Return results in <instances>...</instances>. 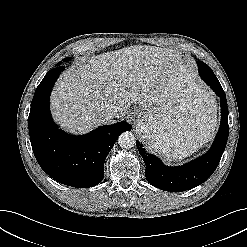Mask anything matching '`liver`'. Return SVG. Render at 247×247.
Wrapping results in <instances>:
<instances>
[{
	"label": "liver",
	"instance_id": "1",
	"mask_svg": "<svg viewBox=\"0 0 247 247\" xmlns=\"http://www.w3.org/2000/svg\"><path fill=\"white\" fill-rule=\"evenodd\" d=\"M177 56L172 49L141 45L94 55L87 63L69 68L57 81L51 95L52 114L62 127L82 134L111 122L101 115L108 104L118 108L115 118L131 104L150 108L181 71Z\"/></svg>",
	"mask_w": 247,
	"mask_h": 247
}]
</instances>
